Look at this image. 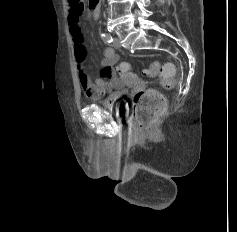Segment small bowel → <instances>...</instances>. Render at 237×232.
<instances>
[{"mask_svg": "<svg viewBox=\"0 0 237 232\" xmlns=\"http://www.w3.org/2000/svg\"><path fill=\"white\" fill-rule=\"evenodd\" d=\"M68 23L82 90L91 99L96 100L108 95L107 102H114L118 99L124 88L123 80L116 74L114 69V65L119 59L118 55L113 48H105L103 59L101 60L100 76L92 79L85 69L86 48L83 41L80 15H76L71 11L68 17Z\"/></svg>", "mask_w": 237, "mask_h": 232, "instance_id": "c3829d8e", "label": "small bowel"}]
</instances>
